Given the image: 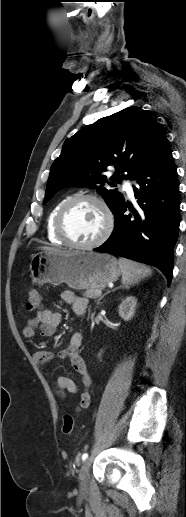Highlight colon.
Masks as SVG:
<instances>
[{
  "label": "colon",
  "instance_id": "obj_1",
  "mask_svg": "<svg viewBox=\"0 0 186 517\" xmlns=\"http://www.w3.org/2000/svg\"><path fill=\"white\" fill-rule=\"evenodd\" d=\"M42 307V298L36 290L28 293L26 300V309L29 312L37 311ZM74 429V418L70 414L63 417L62 431L65 435H70Z\"/></svg>",
  "mask_w": 186,
  "mask_h": 517
}]
</instances>
